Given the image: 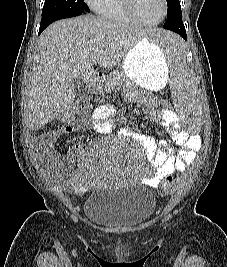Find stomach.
I'll return each instance as SVG.
<instances>
[{"label": "stomach", "instance_id": "1", "mask_svg": "<svg viewBox=\"0 0 227 267\" xmlns=\"http://www.w3.org/2000/svg\"><path fill=\"white\" fill-rule=\"evenodd\" d=\"M121 68L128 79L148 90H160L168 81L166 55L149 38L140 40L129 50Z\"/></svg>", "mask_w": 227, "mask_h": 267}]
</instances>
